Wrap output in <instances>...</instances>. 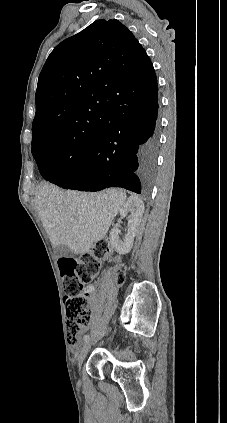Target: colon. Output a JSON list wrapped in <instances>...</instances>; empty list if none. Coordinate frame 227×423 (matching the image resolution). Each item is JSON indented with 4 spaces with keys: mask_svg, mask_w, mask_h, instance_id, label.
Here are the masks:
<instances>
[{
    "mask_svg": "<svg viewBox=\"0 0 227 423\" xmlns=\"http://www.w3.org/2000/svg\"><path fill=\"white\" fill-rule=\"evenodd\" d=\"M111 256L109 242L99 240L91 253L77 259L62 258L59 267L63 277L64 304L66 313L67 337L75 343L81 332L89 325L91 318L90 301L93 294L92 280L98 275L102 260ZM124 266L118 263L115 268L119 283L124 280Z\"/></svg>",
    "mask_w": 227,
    "mask_h": 423,
    "instance_id": "colon-1",
    "label": "colon"
}]
</instances>
